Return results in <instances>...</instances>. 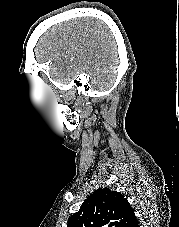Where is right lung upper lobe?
<instances>
[{
  "instance_id": "cb5924a9",
  "label": "right lung upper lobe",
  "mask_w": 179,
  "mask_h": 227,
  "mask_svg": "<svg viewBox=\"0 0 179 227\" xmlns=\"http://www.w3.org/2000/svg\"><path fill=\"white\" fill-rule=\"evenodd\" d=\"M134 210L119 192L96 190L68 220L67 227H136Z\"/></svg>"
}]
</instances>
